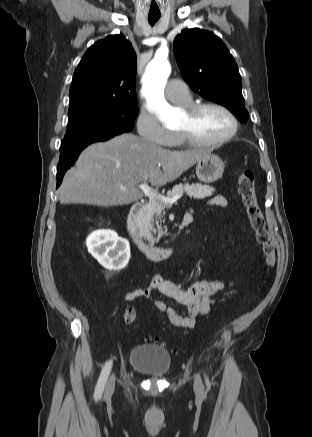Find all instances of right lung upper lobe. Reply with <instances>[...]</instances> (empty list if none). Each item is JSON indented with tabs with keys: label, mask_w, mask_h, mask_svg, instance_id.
<instances>
[{
	"label": "right lung upper lobe",
	"mask_w": 312,
	"mask_h": 437,
	"mask_svg": "<svg viewBox=\"0 0 312 437\" xmlns=\"http://www.w3.org/2000/svg\"><path fill=\"white\" fill-rule=\"evenodd\" d=\"M136 54L122 35L94 43L82 57L70 87V107L90 102L137 103Z\"/></svg>",
	"instance_id": "cb5924a9"
}]
</instances>
